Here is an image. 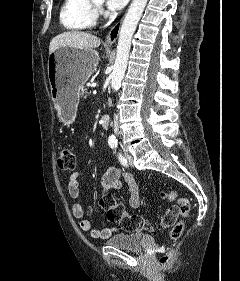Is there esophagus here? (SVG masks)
<instances>
[{"label":"esophagus","mask_w":240,"mask_h":281,"mask_svg":"<svg viewBox=\"0 0 240 281\" xmlns=\"http://www.w3.org/2000/svg\"><path fill=\"white\" fill-rule=\"evenodd\" d=\"M122 21H123V17L109 31L105 41L107 45L111 46L116 42L120 32Z\"/></svg>","instance_id":"1"}]
</instances>
